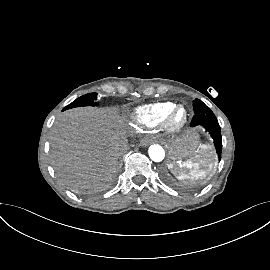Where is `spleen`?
Wrapping results in <instances>:
<instances>
[{"label":"spleen","instance_id":"1","mask_svg":"<svg viewBox=\"0 0 270 270\" xmlns=\"http://www.w3.org/2000/svg\"><path fill=\"white\" fill-rule=\"evenodd\" d=\"M209 156L210 147L202 145L195 158L184 163L187 169V174H185L182 179L187 178L188 174L194 178H204L212 168V164L208 161Z\"/></svg>","mask_w":270,"mask_h":270}]
</instances>
